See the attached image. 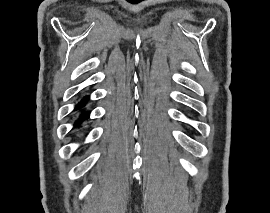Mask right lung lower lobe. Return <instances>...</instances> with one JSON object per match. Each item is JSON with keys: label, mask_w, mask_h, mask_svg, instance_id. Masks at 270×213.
<instances>
[{"label": "right lung lower lobe", "mask_w": 270, "mask_h": 213, "mask_svg": "<svg viewBox=\"0 0 270 213\" xmlns=\"http://www.w3.org/2000/svg\"><path fill=\"white\" fill-rule=\"evenodd\" d=\"M85 103H86V99H83V100L77 105L76 109L81 108L82 106H84ZM88 115H89L88 113H82L81 118H80L79 121H81V120L87 118ZM76 124H78V122H77Z\"/></svg>", "instance_id": "98d812e1"}]
</instances>
